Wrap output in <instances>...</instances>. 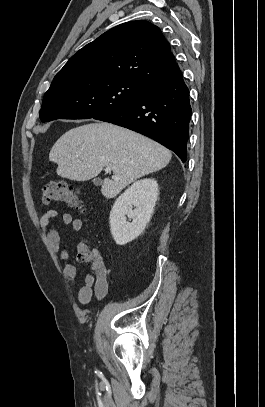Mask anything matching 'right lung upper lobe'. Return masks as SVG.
Returning a JSON list of instances; mask_svg holds the SVG:
<instances>
[{
	"mask_svg": "<svg viewBox=\"0 0 265 407\" xmlns=\"http://www.w3.org/2000/svg\"><path fill=\"white\" fill-rule=\"evenodd\" d=\"M177 66L161 30L144 20L118 25L73 55L53 82L89 76L126 79L146 86Z\"/></svg>",
	"mask_w": 265,
	"mask_h": 407,
	"instance_id": "1",
	"label": "right lung upper lobe"
}]
</instances>
